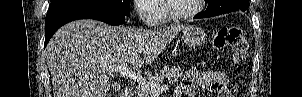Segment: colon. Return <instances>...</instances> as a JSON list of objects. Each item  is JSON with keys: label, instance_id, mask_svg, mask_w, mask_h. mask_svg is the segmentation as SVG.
Masks as SVG:
<instances>
[{"label": "colon", "instance_id": "5ec220e1", "mask_svg": "<svg viewBox=\"0 0 302 97\" xmlns=\"http://www.w3.org/2000/svg\"><path fill=\"white\" fill-rule=\"evenodd\" d=\"M211 46L216 50L231 48L237 64L244 63L248 57V43L242 30L236 26L220 28L214 35Z\"/></svg>", "mask_w": 302, "mask_h": 97}]
</instances>
